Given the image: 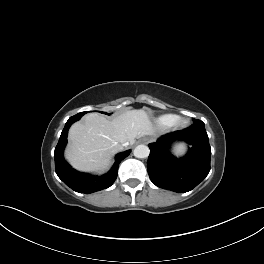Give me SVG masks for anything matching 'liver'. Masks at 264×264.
<instances>
[{
  "label": "liver",
  "mask_w": 264,
  "mask_h": 264,
  "mask_svg": "<svg viewBox=\"0 0 264 264\" xmlns=\"http://www.w3.org/2000/svg\"><path fill=\"white\" fill-rule=\"evenodd\" d=\"M154 134L149 115L143 109L126 111L112 120L90 113L71 126L65 157L80 171L104 170L111 157L123 149L124 142L133 144L138 138Z\"/></svg>",
  "instance_id": "1"
}]
</instances>
